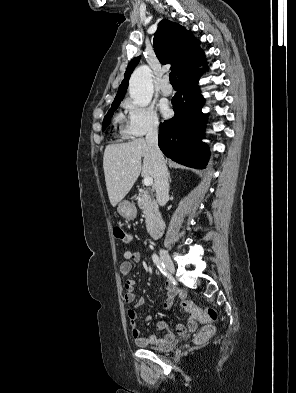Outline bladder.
Instances as JSON below:
<instances>
[{
  "mask_svg": "<svg viewBox=\"0 0 296 393\" xmlns=\"http://www.w3.org/2000/svg\"><path fill=\"white\" fill-rule=\"evenodd\" d=\"M176 346L175 341H171L170 343L164 345V346H159V347H152V346H146L148 350L155 351V352H166L174 349Z\"/></svg>",
  "mask_w": 296,
  "mask_h": 393,
  "instance_id": "obj_1",
  "label": "bladder"
}]
</instances>
